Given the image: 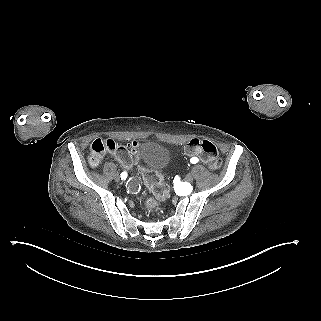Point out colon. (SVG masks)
<instances>
[{"label": "colon", "instance_id": "colon-1", "mask_svg": "<svg viewBox=\"0 0 321 321\" xmlns=\"http://www.w3.org/2000/svg\"><path fill=\"white\" fill-rule=\"evenodd\" d=\"M137 146V142L131 144L133 150ZM107 152L115 154L125 168H132L134 161L131 152L112 139H97L91 144L88 157L89 164L96 167ZM185 152L190 157L200 159L212 170H217L221 167L222 162L218 150L216 146L208 140L191 139L185 146ZM140 171L146 184L156 196L163 198L168 195V183L158 171L149 170L143 166L140 167ZM144 204L147 209L151 211L157 210L156 202L153 199H145Z\"/></svg>", "mask_w": 321, "mask_h": 321}]
</instances>
